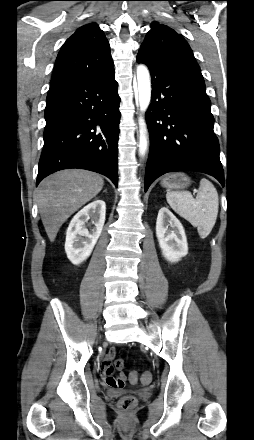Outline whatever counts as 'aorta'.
I'll return each mask as SVG.
<instances>
[{
    "mask_svg": "<svg viewBox=\"0 0 254 440\" xmlns=\"http://www.w3.org/2000/svg\"><path fill=\"white\" fill-rule=\"evenodd\" d=\"M137 91L140 109L142 112H145L148 109L151 100V83L149 70L142 64L137 67ZM147 145V128L144 120H141L139 142V154L141 156L145 155Z\"/></svg>",
    "mask_w": 254,
    "mask_h": 440,
    "instance_id": "1",
    "label": "aorta"
}]
</instances>
